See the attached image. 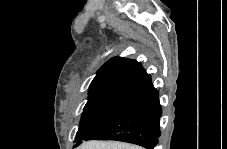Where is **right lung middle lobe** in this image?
I'll list each match as a JSON object with an SVG mask.
<instances>
[{"label":"right lung middle lobe","mask_w":227,"mask_h":149,"mask_svg":"<svg viewBox=\"0 0 227 149\" xmlns=\"http://www.w3.org/2000/svg\"><path fill=\"white\" fill-rule=\"evenodd\" d=\"M137 92L138 89L135 88L110 86L89 93L76 133V146L81 144L92 131L114 118Z\"/></svg>","instance_id":"right-lung-middle-lobe-1"}]
</instances>
